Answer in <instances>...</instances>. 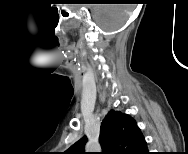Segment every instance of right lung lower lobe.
<instances>
[{
    "mask_svg": "<svg viewBox=\"0 0 188 154\" xmlns=\"http://www.w3.org/2000/svg\"><path fill=\"white\" fill-rule=\"evenodd\" d=\"M144 154H148V150L144 151Z\"/></svg>",
    "mask_w": 188,
    "mask_h": 154,
    "instance_id": "right-lung-lower-lobe-1",
    "label": "right lung lower lobe"
}]
</instances>
